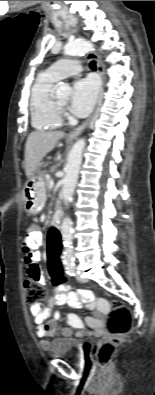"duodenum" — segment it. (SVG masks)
I'll use <instances>...</instances> for the list:
<instances>
[{
	"label": "duodenum",
	"instance_id": "1",
	"mask_svg": "<svg viewBox=\"0 0 155 395\" xmlns=\"http://www.w3.org/2000/svg\"><path fill=\"white\" fill-rule=\"evenodd\" d=\"M61 221H62V212L61 211H56L52 217V225L55 228H59L61 225Z\"/></svg>",
	"mask_w": 155,
	"mask_h": 395
}]
</instances>
